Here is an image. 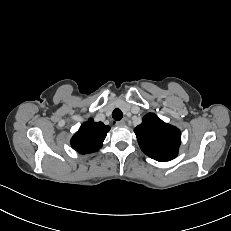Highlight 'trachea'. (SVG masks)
Wrapping results in <instances>:
<instances>
[{
	"label": "trachea",
	"mask_w": 231,
	"mask_h": 231,
	"mask_svg": "<svg viewBox=\"0 0 231 231\" xmlns=\"http://www.w3.org/2000/svg\"><path fill=\"white\" fill-rule=\"evenodd\" d=\"M112 117L114 120L119 121L123 117V113L119 108H115L112 112Z\"/></svg>",
	"instance_id": "trachea-1"
}]
</instances>
